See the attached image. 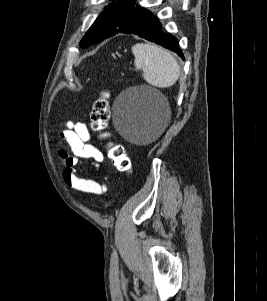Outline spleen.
Segmentation results:
<instances>
[{
    "label": "spleen",
    "instance_id": "3e777b00",
    "mask_svg": "<svg viewBox=\"0 0 267 301\" xmlns=\"http://www.w3.org/2000/svg\"><path fill=\"white\" fill-rule=\"evenodd\" d=\"M136 70H143L147 83L158 88L174 85L180 75V67L173 55L156 45L137 43L132 47Z\"/></svg>",
    "mask_w": 267,
    "mask_h": 301
}]
</instances>
